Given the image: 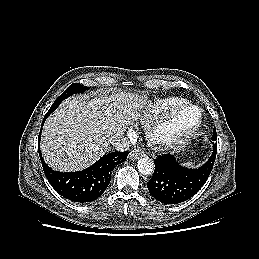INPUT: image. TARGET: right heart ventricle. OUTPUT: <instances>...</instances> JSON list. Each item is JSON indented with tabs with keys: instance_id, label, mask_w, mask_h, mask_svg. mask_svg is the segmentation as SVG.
I'll return each mask as SVG.
<instances>
[{
	"instance_id": "obj_1",
	"label": "right heart ventricle",
	"mask_w": 259,
	"mask_h": 259,
	"mask_svg": "<svg viewBox=\"0 0 259 259\" xmlns=\"http://www.w3.org/2000/svg\"><path fill=\"white\" fill-rule=\"evenodd\" d=\"M185 103L187 101L179 97H167L151 101L143 107L139 114V121L141 123H147Z\"/></svg>"
}]
</instances>
